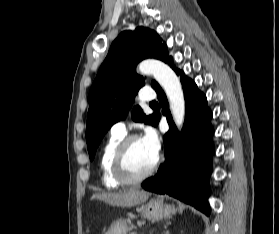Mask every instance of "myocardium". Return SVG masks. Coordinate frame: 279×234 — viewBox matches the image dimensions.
Segmentation results:
<instances>
[{
	"mask_svg": "<svg viewBox=\"0 0 279 234\" xmlns=\"http://www.w3.org/2000/svg\"><path fill=\"white\" fill-rule=\"evenodd\" d=\"M139 139L141 137L136 134L126 136L121 140L115 150L112 161L113 175L122 184H137L144 181L155 172L160 163V157L157 156L154 163L144 173L133 175L129 172L126 165L128 150L131 143Z\"/></svg>",
	"mask_w": 279,
	"mask_h": 234,
	"instance_id": "myocardium-1",
	"label": "myocardium"
}]
</instances>
